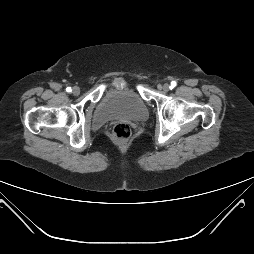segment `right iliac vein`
<instances>
[{"instance_id":"obj_1","label":"right iliac vein","mask_w":254,"mask_h":254,"mask_svg":"<svg viewBox=\"0 0 254 254\" xmlns=\"http://www.w3.org/2000/svg\"><path fill=\"white\" fill-rule=\"evenodd\" d=\"M73 94L75 95V96H78L79 94H80V88L79 87H77V86H75L74 88H73Z\"/></svg>"}]
</instances>
